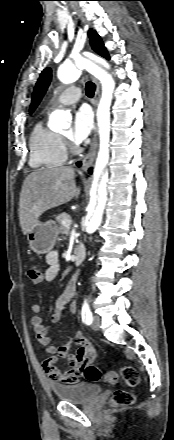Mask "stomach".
Returning a JSON list of instances; mask_svg holds the SVG:
<instances>
[{"instance_id":"obj_1","label":"stomach","mask_w":174,"mask_h":440,"mask_svg":"<svg viewBox=\"0 0 174 440\" xmlns=\"http://www.w3.org/2000/svg\"><path fill=\"white\" fill-rule=\"evenodd\" d=\"M58 233V227L53 221H37L29 230L27 240L36 254H45L53 249Z\"/></svg>"}]
</instances>
